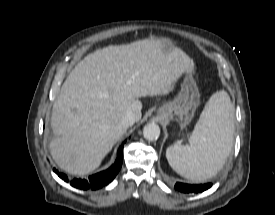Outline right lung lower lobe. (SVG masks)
I'll return each mask as SVG.
<instances>
[{
  "label": "right lung lower lobe",
  "mask_w": 275,
  "mask_h": 215,
  "mask_svg": "<svg viewBox=\"0 0 275 215\" xmlns=\"http://www.w3.org/2000/svg\"><path fill=\"white\" fill-rule=\"evenodd\" d=\"M123 146H124V143L119 147L117 159L109 169L90 176L88 180L73 179L70 182V184L73 187L83 189V190H88V189L96 190L110 183L115 178V176L117 175V173L119 172L122 166ZM53 171L57 173L58 176L61 179H63L65 182L69 181L68 177L65 174L59 173L55 168L53 169Z\"/></svg>",
  "instance_id": "1"
}]
</instances>
